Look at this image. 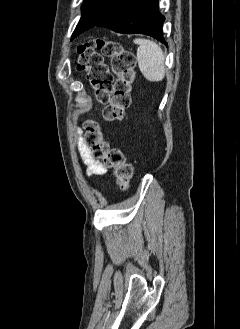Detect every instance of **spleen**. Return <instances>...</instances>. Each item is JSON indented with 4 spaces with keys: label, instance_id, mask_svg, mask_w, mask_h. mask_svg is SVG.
I'll return each instance as SVG.
<instances>
[{
    "label": "spleen",
    "instance_id": "1",
    "mask_svg": "<svg viewBox=\"0 0 240 329\" xmlns=\"http://www.w3.org/2000/svg\"><path fill=\"white\" fill-rule=\"evenodd\" d=\"M138 45L137 61L143 76L151 82L163 80L165 76V56L161 47L148 39H135Z\"/></svg>",
    "mask_w": 240,
    "mask_h": 329
}]
</instances>
